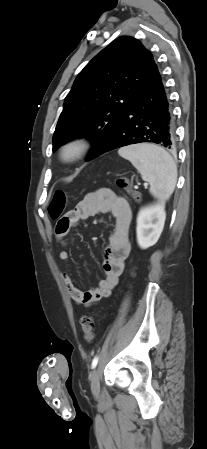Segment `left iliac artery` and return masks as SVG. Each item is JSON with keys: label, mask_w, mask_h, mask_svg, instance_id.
<instances>
[{"label": "left iliac artery", "mask_w": 207, "mask_h": 449, "mask_svg": "<svg viewBox=\"0 0 207 449\" xmlns=\"http://www.w3.org/2000/svg\"><path fill=\"white\" fill-rule=\"evenodd\" d=\"M98 356H95L94 359L92 360V368H95L98 364Z\"/></svg>", "instance_id": "left-iliac-artery-1"}]
</instances>
